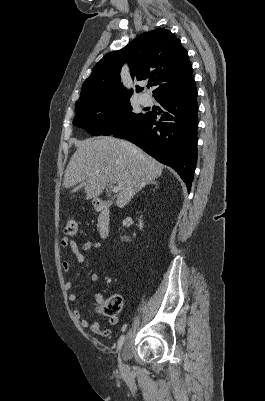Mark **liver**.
Segmentation results:
<instances>
[{"mask_svg": "<svg viewBox=\"0 0 265 401\" xmlns=\"http://www.w3.org/2000/svg\"><path fill=\"white\" fill-rule=\"evenodd\" d=\"M75 144L77 148L66 166L63 184L71 188L83 182L73 192L84 186L87 201L102 194L108 182H117L116 205L123 209L135 192L162 174L163 164L127 140L95 136L76 140Z\"/></svg>", "mask_w": 265, "mask_h": 401, "instance_id": "obj_1", "label": "liver"}]
</instances>
